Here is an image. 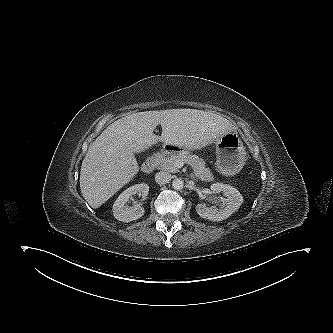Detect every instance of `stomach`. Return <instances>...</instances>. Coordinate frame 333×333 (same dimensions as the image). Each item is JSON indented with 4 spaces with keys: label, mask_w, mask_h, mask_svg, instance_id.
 <instances>
[{
    "label": "stomach",
    "mask_w": 333,
    "mask_h": 333,
    "mask_svg": "<svg viewBox=\"0 0 333 333\" xmlns=\"http://www.w3.org/2000/svg\"><path fill=\"white\" fill-rule=\"evenodd\" d=\"M245 161V148L236 133L229 132L217 139L216 165L222 175H236L243 168Z\"/></svg>",
    "instance_id": "1"
}]
</instances>
